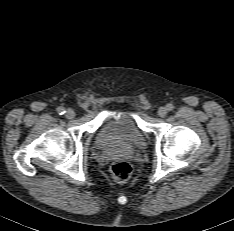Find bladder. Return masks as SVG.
<instances>
[{
    "instance_id": "obj_1",
    "label": "bladder",
    "mask_w": 234,
    "mask_h": 231,
    "mask_svg": "<svg viewBox=\"0 0 234 231\" xmlns=\"http://www.w3.org/2000/svg\"><path fill=\"white\" fill-rule=\"evenodd\" d=\"M97 143L102 150L127 146L139 151L147 144L143 131L126 112L116 113L102 127L97 136Z\"/></svg>"
}]
</instances>
